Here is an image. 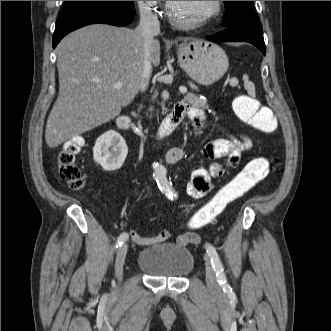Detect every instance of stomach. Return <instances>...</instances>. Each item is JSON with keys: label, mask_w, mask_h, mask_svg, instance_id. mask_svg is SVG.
<instances>
[{"label": "stomach", "mask_w": 331, "mask_h": 331, "mask_svg": "<svg viewBox=\"0 0 331 331\" xmlns=\"http://www.w3.org/2000/svg\"><path fill=\"white\" fill-rule=\"evenodd\" d=\"M178 61L184 71L201 85L213 84L229 67L224 50L204 39H193L181 44L178 48Z\"/></svg>", "instance_id": "stomach-1"}]
</instances>
